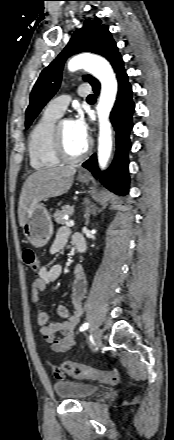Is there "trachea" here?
<instances>
[{
  "label": "trachea",
  "mask_w": 174,
  "mask_h": 440,
  "mask_svg": "<svg viewBox=\"0 0 174 440\" xmlns=\"http://www.w3.org/2000/svg\"><path fill=\"white\" fill-rule=\"evenodd\" d=\"M96 98L95 95L91 94L87 97L88 100H94Z\"/></svg>",
  "instance_id": "1"
}]
</instances>
